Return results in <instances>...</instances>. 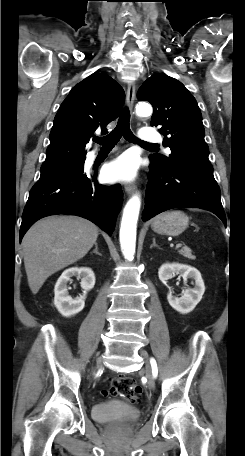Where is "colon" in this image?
<instances>
[{
	"mask_svg": "<svg viewBox=\"0 0 245 456\" xmlns=\"http://www.w3.org/2000/svg\"><path fill=\"white\" fill-rule=\"evenodd\" d=\"M107 396H120L130 402L137 403L142 396V387L132 378L127 376L114 377L108 389L104 391Z\"/></svg>",
	"mask_w": 245,
	"mask_h": 456,
	"instance_id": "colon-1",
	"label": "colon"
}]
</instances>
